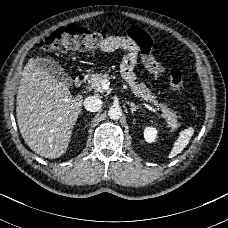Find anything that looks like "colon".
Segmentation results:
<instances>
[{
  "instance_id": "5ec220e1",
  "label": "colon",
  "mask_w": 228,
  "mask_h": 228,
  "mask_svg": "<svg viewBox=\"0 0 228 228\" xmlns=\"http://www.w3.org/2000/svg\"><path fill=\"white\" fill-rule=\"evenodd\" d=\"M115 42L116 37L84 27L69 25L55 30L47 38L40 41L36 46V50L40 55H49L56 50H95L103 44L112 46ZM170 87L177 95L183 93L185 89L184 73L180 68L171 70Z\"/></svg>"
}]
</instances>
